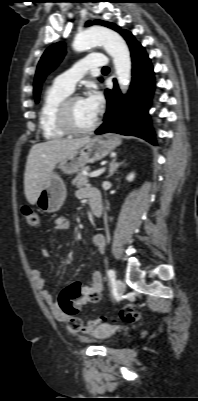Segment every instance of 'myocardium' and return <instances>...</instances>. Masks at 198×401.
<instances>
[{"instance_id":"1","label":"myocardium","mask_w":198,"mask_h":401,"mask_svg":"<svg viewBox=\"0 0 198 401\" xmlns=\"http://www.w3.org/2000/svg\"><path fill=\"white\" fill-rule=\"evenodd\" d=\"M78 99H82V96L78 94L68 95L62 100V102L58 107L56 115L57 124L60 127V129L64 131L66 134L70 135L87 134L95 130L100 124V117L97 116L94 122L88 127L79 128L74 125L71 117V109L74 101Z\"/></svg>"}]
</instances>
